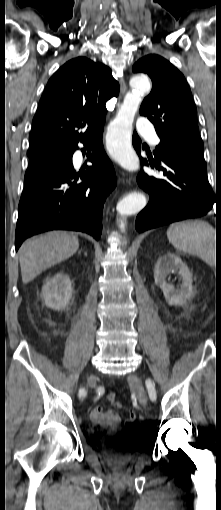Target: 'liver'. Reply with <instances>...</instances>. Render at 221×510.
<instances>
[{
  "mask_svg": "<svg viewBox=\"0 0 221 510\" xmlns=\"http://www.w3.org/2000/svg\"><path fill=\"white\" fill-rule=\"evenodd\" d=\"M78 248V237L63 231L27 240L19 249L22 282L29 283L46 269L71 257Z\"/></svg>",
  "mask_w": 221,
  "mask_h": 510,
  "instance_id": "liver-1",
  "label": "liver"
}]
</instances>
